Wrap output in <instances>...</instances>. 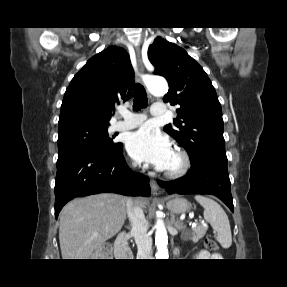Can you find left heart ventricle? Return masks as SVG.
<instances>
[{
    "instance_id": "1",
    "label": "left heart ventricle",
    "mask_w": 287,
    "mask_h": 287,
    "mask_svg": "<svg viewBox=\"0 0 287 287\" xmlns=\"http://www.w3.org/2000/svg\"><path fill=\"white\" fill-rule=\"evenodd\" d=\"M179 165L178 156L172 152L165 169H174Z\"/></svg>"
}]
</instances>
